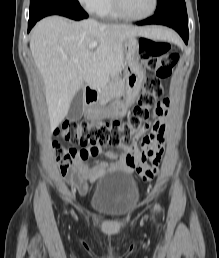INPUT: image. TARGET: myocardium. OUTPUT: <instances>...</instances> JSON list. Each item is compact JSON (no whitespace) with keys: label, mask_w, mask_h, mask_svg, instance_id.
I'll list each match as a JSON object with an SVG mask.
<instances>
[{"label":"myocardium","mask_w":219,"mask_h":258,"mask_svg":"<svg viewBox=\"0 0 219 258\" xmlns=\"http://www.w3.org/2000/svg\"><path fill=\"white\" fill-rule=\"evenodd\" d=\"M112 1L117 15L123 19L130 20V21H140L151 17L156 12L158 8V3H159L158 0H154L153 7L147 14H144L141 16H132L125 11L121 0H112Z\"/></svg>","instance_id":"1"}]
</instances>
